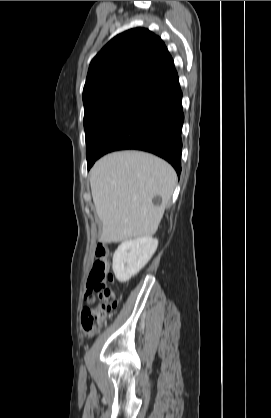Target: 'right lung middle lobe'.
I'll use <instances>...</instances> for the list:
<instances>
[{
	"mask_svg": "<svg viewBox=\"0 0 271 418\" xmlns=\"http://www.w3.org/2000/svg\"><path fill=\"white\" fill-rule=\"evenodd\" d=\"M151 103L134 95H121L84 107L88 168L111 136Z\"/></svg>",
	"mask_w": 271,
	"mask_h": 418,
	"instance_id": "1",
	"label": "right lung middle lobe"
}]
</instances>
